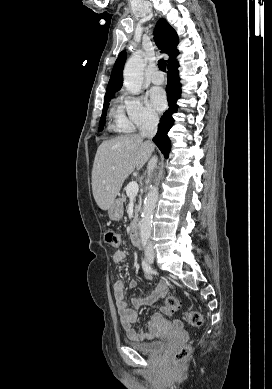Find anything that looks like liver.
<instances>
[{"instance_id": "6515ba94", "label": "liver", "mask_w": 272, "mask_h": 389, "mask_svg": "<svg viewBox=\"0 0 272 389\" xmlns=\"http://www.w3.org/2000/svg\"><path fill=\"white\" fill-rule=\"evenodd\" d=\"M154 151V144L140 135L103 141L97 149L92 169V192L102 210H108L125 179L141 169Z\"/></svg>"}]
</instances>
